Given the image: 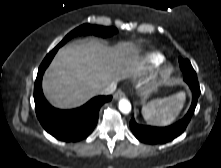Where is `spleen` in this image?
I'll return each instance as SVG.
<instances>
[{"instance_id": "3e777b00", "label": "spleen", "mask_w": 221, "mask_h": 168, "mask_svg": "<svg viewBox=\"0 0 221 168\" xmlns=\"http://www.w3.org/2000/svg\"><path fill=\"white\" fill-rule=\"evenodd\" d=\"M185 97L184 92H179L176 95L152 101L143 106L142 115L151 124L167 126L179 115Z\"/></svg>"}]
</instances>
